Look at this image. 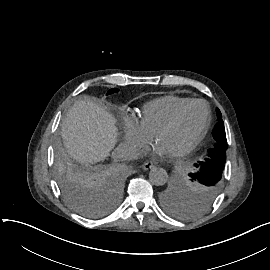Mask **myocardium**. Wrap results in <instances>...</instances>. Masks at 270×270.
<instances>
[{
    "label": "myocardium",
    "mask_w": 270,
    "mask_h": 270,
    "mask_svg": "<svg viewBox=\"0 0 270 270\" xmlns=\"http://www.w3.org/2000/svg\"><path fill=\"white\" fill-rule=\"evenodd\" d=\"M197 104H201L205 109L204 125H203L202 129L200 130V132L198 133V135L185 148L176 152V154L178 156H184V155H187L190 152H192L198 146V144L201 142L203 137L205 136V134L209 128L210 122H211V112H210V109H209L206 102H204L202 100H193V101L189 102L188 104L183 106L181 109H179L166 123H164L154 133L155 138H157L160 133L174 128L180 122L181 118L186 113V111Z\"/></svg>",
    "instance_id": "f54148a6"
}]
</instances>
